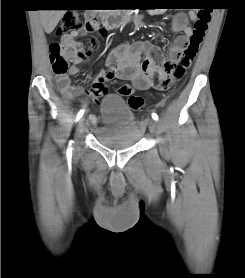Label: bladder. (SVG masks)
Instances as JSON below:
<instances>
[{
    "instance_id": "obj_1",
    "label": "bladder",
    "mask_w": 245,
    "mask_h": 278,
    "mask_svg": "<svg viewBox=\"0 0 245 278\" xmlns=\"http://www.w3.org/2000/svg\"><path fill=\"white\" fill-rule=\"evenodd\" d=\"M98 140L108 148L121 150L135 146L142 136L133 109L123 96L108 94L101 103Z\"/></svg>"
}]
</instances>
